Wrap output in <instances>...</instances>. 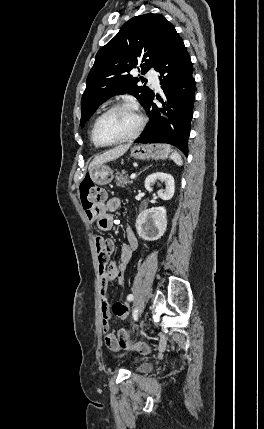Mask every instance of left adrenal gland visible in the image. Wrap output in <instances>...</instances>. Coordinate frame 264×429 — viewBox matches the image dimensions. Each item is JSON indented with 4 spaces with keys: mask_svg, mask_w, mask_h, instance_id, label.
<instances>
[{
    "mask_svg": "<svg viewBox=\"0 0 264 429\" xmlns=\"http://www.w3.org/2000/svg\"><path fill=\"white\" fill-rule=\"evenodd\" d=\"M150 166H152V165H150ZM150 166L146 167L143 171H145L146 169H148ZM143 171H142V172H143Z\"/></svg>",
    "mask_w": 264,
    "mask_h": 429,
    "instance_id": "a2214340",
    "label": "left adrenal gland"
}]
</instances>
